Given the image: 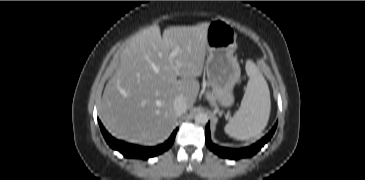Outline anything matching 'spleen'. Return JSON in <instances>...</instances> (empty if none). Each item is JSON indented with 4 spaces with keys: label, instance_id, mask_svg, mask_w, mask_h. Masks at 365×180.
Instances as JSON below:
<instances>
[{
    "label": "spleen",
    "instance_id": "obj_1",
    "mask_svg": "<svg viewBox=\"0 0 365 180\" xmlns=\"http://www.w3.org/2000/svg\"><path fill=\"white\" fill-rule=\"evenodd\" d=\"M245 69L249 80L240 108L224 127L226 134L238 140L258 136L267 126L271 111L269 87L258 66L248 60Z\"/></svg>",
    "mask_w": 365,
    "mask_h": 180
}]
</instances>
